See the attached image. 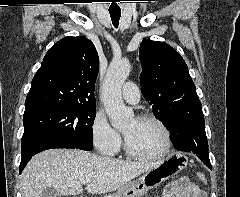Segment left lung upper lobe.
I'll use <instances>...</instances> for the list:
<instances>
[{
	"mask_svg": "<svg viewBox=\"0 0 240 197\" xmlns=\"http://www.w3.org/2000/svg\"><path fill=\"white\" fill-rule=\"evenodd\" d=\"M140 84L155 117L172 133L182 118L202 112L196 87L181 55L165 42L140 44Z\"/></svg>",
	"mask_w": 240,
	"mask_h": 197,
	"instance_id": "left-lung-upper-lobe-1",
	"label": "left lung upper lobe"
}]
</instances>
